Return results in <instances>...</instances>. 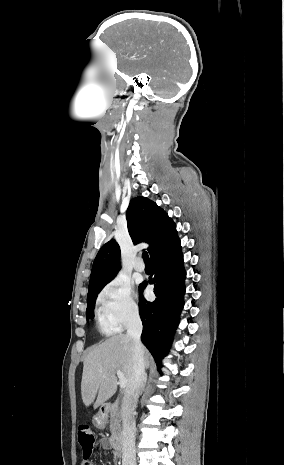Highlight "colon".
<instances>
[{
    "label": "colon",
    "mask_w": 284,
    "mask_h": 465,
    "mask_svg": "<svg viewBox=\"0 0 284 465\" xmlns=\"http://www.w3.org/2000/svg\"><path fill=\"white\" fill-rule=\"evenodd\" d=\"M78 438L81 446L82 457L85 460H89L95 444V436L91 428L88 425L80 426L78 428Z\"/></svg>",
    "instance_id": "5ec220e1"
}]
</instances>
